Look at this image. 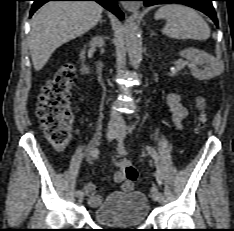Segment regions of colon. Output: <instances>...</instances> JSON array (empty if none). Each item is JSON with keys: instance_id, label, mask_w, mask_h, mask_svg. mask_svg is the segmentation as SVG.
<instances>
[{"instance_id": "1", "label": "colon", "mask_w": 234, "mask_h": 231, "mask_svg": "<svg viewBox=\"0 0 234 231\" xmlns=\"http://www.w3.org/2000/svg\"><path fill=\"white\" fill-rule=\"evenodd\" d=\"M76 79L75 67L65 64L57 70L54 76L44 85L38 105L37 114L48 142L58 150L64 149L70 142V123L73 119L71 106L72 88ZM196 106L201 111L199 121L206 120L204 112L207 100L198 97ZM119 170L115 174V181L124 180L134 182L137 178L136 169L126 159H116Z\"/></svg>"}]
</instances>
